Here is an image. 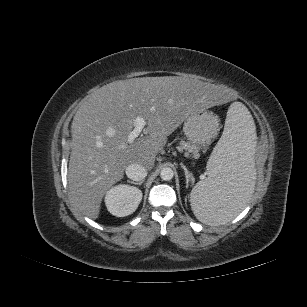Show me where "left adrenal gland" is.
<instances>
[{
	"label": "left adrenal gland",
	"mask_w": 307,
	"mask_h": 307,
	"mask_svg": "<svg viewBox=\"0 0 307 307\" xmlns=\"http://www.w3.org/2000/svg\"><path fill=\"white\" fill-rule=\"evenodd\" d=\"M181 166H182V168H183V170H184V172H185L186 187H188L189 182H190V181H193V176H192V174L188 171V169H187L183 164H182Z\"/></svg>",
	"instance_id": "a2214340"
}]
</instances>
